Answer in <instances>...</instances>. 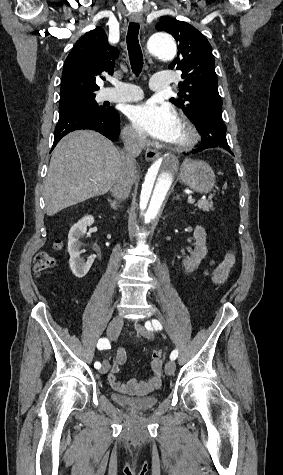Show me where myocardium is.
Listing matches in <instances>:
<instances>
[{
    "instance_id": "obj_1",
    "label": "myocardium",
    "mask_w": 283,
    "mask_h": 475,
    "mask_svg": "<svg viewBox=\"0 0 283 475\" xmlns=\"http://www.w3.org/2000/svg\"><path fill=\"white\" fill-rule=\"evenodd\" d=\"M180 123L183 129V136L178 143L174 144V150L179 153H185L195 146L199 134L197 128L183 113L180 114Z\"/></svg>"
}]
</instances>
